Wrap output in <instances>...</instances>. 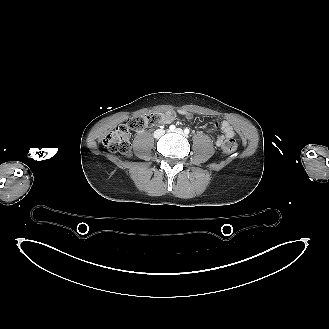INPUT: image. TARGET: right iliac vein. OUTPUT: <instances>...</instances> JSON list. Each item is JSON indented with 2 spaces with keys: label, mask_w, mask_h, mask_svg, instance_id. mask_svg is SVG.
Instances as JSON below:
<instances>
[{
  "label": "right iliac vein",
  "mask_w": 329,
  "mask_h": 329,
  "mask_svg": "<svg viewBox=\"0 0 329 329\" xmlns=\"http://www.w3.org/2000/svg\"><path fill=\"white\" fill-rule=\"evenodd\" d=\"M163 134H164V130H157L156 133H155V136L156 137H159V136H161Z\"/></svg>",
  "instance_id": "63e3f726"
}]
</instances>
